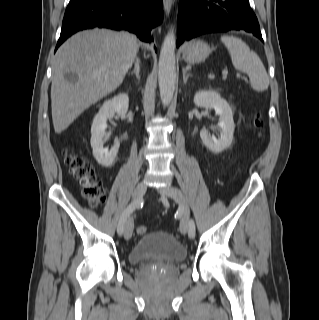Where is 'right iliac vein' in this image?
I'll return each instance as SVG.
<instances>
[{"label": "right iliac vein", "mask_w": 319, "mask_h": 320, "mask_svg": "<svg viewBox=\"0 0 319 320\" xmlns=\"http://www.w3.org/2000/svg\"><path fill=\"white\" fill-rule=\"evenodd\" d=\"M146 190H147V185L144 182L138 183L133 192V200L134 201L140 200L146 193ZM133 227H134L133 220L132 218H129L124 229V237L126 240H129L131 238Z\"/></svg>", "instance_id": "1"}]
</instances>
